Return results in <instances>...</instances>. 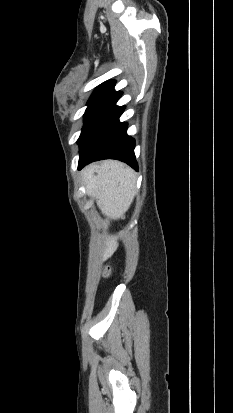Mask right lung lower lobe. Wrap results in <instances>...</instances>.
<instances>
[{
    "instance_id": "98d812e1",
    "label": "right lung lower lobe",
    "mask_w": 233,
    "mask_h": 413,
    "mask_svg": "<svg viewBox=\"0 0 233 413\" xmlns=\"http://www.w3.org/2000/svg\"><path fill=\"white\" fill-rule=\"evenodd\" d=\"M120 91L112 88L98 105L78 142L80 157L78 168L101 160L117 159L138 170L135 160V141L126 134L127 124L120 123L119 117L125 109L116 106L121 97Z\"/></svg>"
}]
</instances>
